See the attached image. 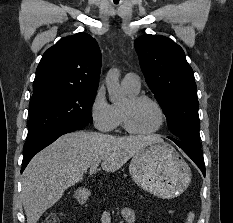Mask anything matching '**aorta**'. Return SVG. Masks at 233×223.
Returning a JSON list of instances; mask_svg holds the SVG:
<instances>
[{
  "label": "aorta",
  "mask_w": 233,
  "mask_h": 223,
  "mask_svg": "<svg viewBox=\"0 0 233 223\" xmlns=\"http://www.w3.org/2000/svg\"><path fill=\"white\" fill-rule=\"evenodd\" d=\"M119 76L120 70H117V68H112V70H109L105 78L109 100H111L113 104H122V102H125V100H127L120 86Z\"/></svg>",
  "instance_id": "762f6f07"
}]
</instances>
